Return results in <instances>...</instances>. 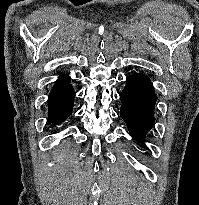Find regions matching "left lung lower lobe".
<instances>
[{
    "mask_svg": "<svg viewBox=\"0 0 199 205\" xmlns=\"http://www.w3.org/2000/svg\"><path fill=\"white\" fill-rule=\"evenodd\" d=\"M120 99V115L126 122L131 136L144 142V135L154 124V107L157 100L151 80L140 73L127 77Z\"/></svg>",
    "mask_w": 199,
    "mask_h": 205,
    "instance_id": "0a47b994",
    "label": "left lung lower lobe"
}]
</instances>
